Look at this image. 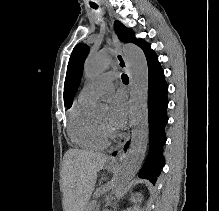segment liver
Segmentation results:
<instances>
[{
  "mask_svg": "<svg viewBox=\"0 0 219 211\" xmlns=\"http://www.w3.org/2000/svg\"><path fill=\"white\" fill-rule=\"evenodd\" d=\"M108 157L86 149H67L64 155V205L66 211H84L92 195L97 173Z\"/></svg>",
  "mask_w": 219,
  "mask_h": 211,
  "instance_id": "1",
  "label": "liver"
}]
</instances>
